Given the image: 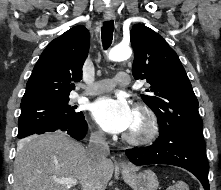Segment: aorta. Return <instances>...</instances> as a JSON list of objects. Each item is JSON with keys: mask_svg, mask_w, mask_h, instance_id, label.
I'll list each match as a JSON object with an SVG mask.
<instances>
[{"mask_svg": "<svg viewBox=\"0 0 221 190\" xmlns=\"http://www.w3.org/2000/svg\"><path fill=\"white\" fill-rule=\"evenodd\" d=\"M132 55V50L129 46L117 45L112 48L108 54V59L114 62L127 60Z\"/></svg>", "mask_w": 221, "mask_h": 190, "instance_id": "aorta-1", "label": "aorta"}]
</instances>
